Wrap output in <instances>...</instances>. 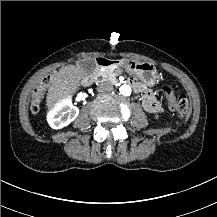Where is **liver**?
Instances as JSON below:
<instances>
[{
    "label": "liver",
    "instance_id": "liver-1",
    "mask_svg": "<svg viewBox=\"0 0 217 217\" xmlns=\"http://www.w3.org/2000/svg\"><path fill=\"white\" fill-rule=\"evenodd\" d=\"M85 78L86 70L82 67L81 61L61 68L59 73L51 78V86L46 96L48 110L52 111L63 101L72 98L81 88Z\"/></svg>",
    "mask_w": 217,
    "mask_h": 217
}]
</instances>
